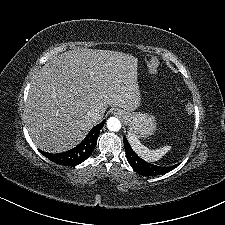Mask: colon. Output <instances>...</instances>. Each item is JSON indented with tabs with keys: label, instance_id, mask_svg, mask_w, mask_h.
<instances>
[{
	"label": "colon",
	"instance_id": "5ec220e1",
	"mask_svg": "<svg viewBox=\"0 0 225 225\" xmlns=\"http://www.w3.org/2000/svg\"><path fill=\"white\" fill-rule=\"evenodd\" d=\"M147 65H148V67H150V68L157 67L158 61L155 60V59H153V58H149V59L147 60Z\"/></svg>",
	"mask_w": 225,
	"mask_h": 225
}]
</instances>
